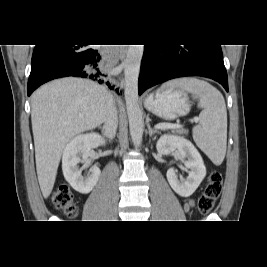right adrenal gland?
<instances>
[{
  "label": "right adrenal gland",
  "instance_id": "1",
  "mask_svg": "<svg viewBox=\"0 0 267 267\" xmlns=\"http://www.w3.org/2000/svg\"><path fill=\"white\" fill-rule=\"evenodd\" d=\"M99 129H101V132L104 133V128L99 126Z\"/></svg>",
  "mask_w": 267,
  "mask_h": 267
}]
</instances>
